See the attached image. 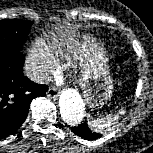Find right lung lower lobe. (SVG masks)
I'll return each instance as SVG.
<instances>
[{
    "label": "right lung lower lobe",
    "mask_w": 153,
    "mask_h": 153,
    "mask_svg": "<svg viewBox=\"0 0 153 153\" xmlns=\"http://www.w3.org/2000/svg\"><path fill=\"white\" fill-rule=\"evenodd\" d=\"M21 52L0 50V139L12 135L25 121L31 101L43 96L47 87L23 74Z\"/></svg>",
    "instance_id": "1"
}]
</instances>
